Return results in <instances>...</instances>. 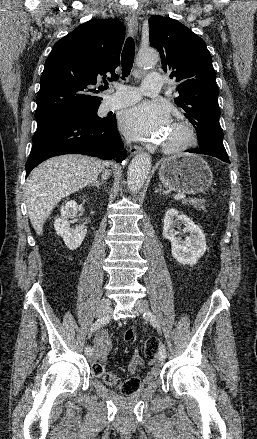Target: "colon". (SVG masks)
Wrapping results in <instances>:
<instances>
[{
  "label": "colon",
  "mask_w": 257,
  "mask_h": 439,
  "mask_svg": "<svg viewBox=\"0 0 257 439\" xmlns=\"http://www.w3.org/2000/svg\"><path fill=\"white\" fill-rule=\"evenodd\" d=\"M134 336L133 330L127 331L125 335V340L130 341ZM158 341L156 338H149L144 346L145 355L153 359L157 353ZM93 374L96 377L101 378L106 384L113 385L117 387L123 394H132L138 391L141 387V381L137 378H128L125 380L119 379L113 373L105 370L101 363H94L92 365Z\"/></svg>",
  "instance_id": "obj_1"
}]
</instances>
